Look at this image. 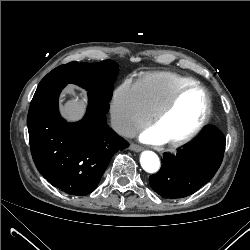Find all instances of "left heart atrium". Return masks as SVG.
Masks as SVG:
<instances>
[{"label": "left heart atrium", "instance_id": "1", "mask_svg": "<svg viewBox=\"0 0 250 250\" xmlns=\"http://www.w3.org/2000/svg\"><path fill=\"white\" fill-rule=\"evenodd\" d=\"M141 140L146 143H161L165 142L161 137H159L152 129L143 132L140 136Z\"/></svg>", "mask_w": 250, "mask_h": 250}]
</instances>
